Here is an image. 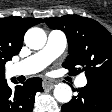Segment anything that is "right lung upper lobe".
Listing matches in <instances>:
<instances>
[{"label":"right lung upper lobe","mask_w":112,"mask_h":112,"mask_svg":"<svg viewBox=\"0 0 112 112\" xmlns=\"http://www.w3.org/2000/svg\"><path fill=\"white\" fill-rule=\"evenodd\" d=\"M42 22L43 20L40 18L18 16L0 19V84L6 81L5 63L21 50L25 32Z\"/></svg>","instance_id":"cb5924a9"}]
</instances>
